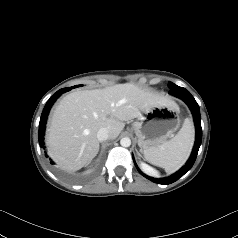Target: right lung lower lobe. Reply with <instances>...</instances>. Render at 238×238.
Here are the masks:
<instances>
[{"instance_id": "1", "label": "right lung lower lobe", "mask_w": 238, "mask_h": 238, "mask_svg": "<svg viewBox=\"0 0 238 238\" xmlns=\"http://www.w3.org/2000/svg\"><path fill=\"white\" fill-rule=\"evenodd\" d=\"M76 88V86L69 87V88H62L58 90L46 103L41 118H40V123H39V134H38V139L41 147H44V131H45V124L47 120V116L49 113V110L52 106V104L56 101V99L64 92L70 91L71 89ZM53 164V162H50Z\"/></svg>"}]
</instances>
